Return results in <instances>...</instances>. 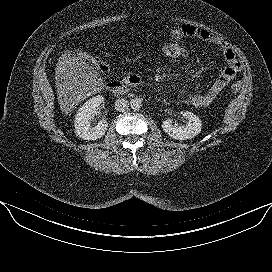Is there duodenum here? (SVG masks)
Listing matches in <instances>:
<instances>
[{
    "mask_svg": "<svg viewBox=\"0 0 272 272\" xmlns=\"http://www.w3.org/2000/svg\"><path fill=\"white\" fill-rule=\"evenodd\" d=\"M140 85V78L137 75H127L123 80H114L107 84V89L115 94H124L130 88Z\"/></svg>",
    "mask_w": 272,
    "mask_h": 272,
    "instance_id": "obj_1",
    "label": "duodenum"
}]
</instances>
